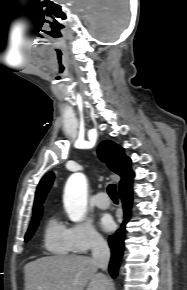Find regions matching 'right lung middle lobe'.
<instances>
[{"label": "right lung middle lobe", "instance_id": "dd1d6c3e", "mask_svg": "<svg viewBox=\"0 0 187 290\" xmlns=\"http://www.w3.org/2000/svg\"><path fill=\"white\" fill-rule=\"evenodd\" d=\"M41 215L42 214L38 215L34 220H32V223H31V225L29 227V230H28V232L25 235V241L26 242L32 237L33 233L35 232V230H36V228H37V226L39 224V221L41 219Z\"/></svg>", "mask_w": 187, "mask_h": 290}]
</instances>
